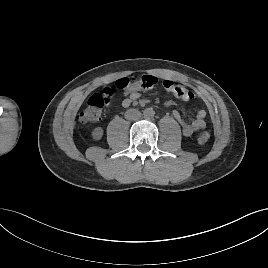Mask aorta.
I'll return each mask as SVG.
<instances>
[{
    "label": "aorta",
    "instance_id": "aorta-1",
    "mask_svg": "<svg viewBox=\"0 0 268 268\" xmlns=\"http://www.w3.org/2000/svg\"><path fill=\"white\" fill-rule=\"evenodd\" d=\"M143 115L146 119H151L154 117L155 115V111L153 110V108H146L144 111H143Z\"/></svg>",
    "mask_w": 268,
    "mask_h": 268
}]
</instances>
